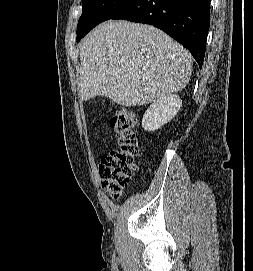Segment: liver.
<instances>
[{
  "instance_id": "liver-1",
  "label": "liver",
  "mask_w": 253,
  "mask_h": 271,
  "mask_svg": "<svg viewBox=\"0 0 253 271\" xmlns=\"http://www.w3.org/2000/svg\"><path fill=\"white\" fill-rule=\"evenodd\" d=\"M80 96H106L119 105L148 104L182 90L192 73L188 51L163 31L106 21L80 44Z\"/></svg>"
}]
</instances>
